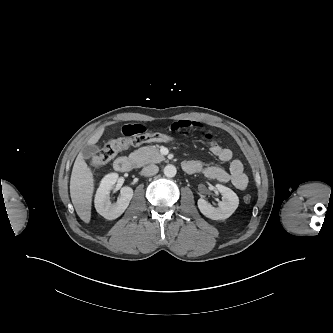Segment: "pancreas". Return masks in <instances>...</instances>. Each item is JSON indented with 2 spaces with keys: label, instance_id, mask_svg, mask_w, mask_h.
<instances>
[{
  "label": "pancreas",
  "instance_id": "obj_1",
  "mask_svg": "<svg viewBox=\"0 0 333 333\" xmlns=\"http://www.w3.org/2000/svg\"><path fill=\"white\" fill-rule=\"evenodd\" d=\"M129 158L138 167L150 163H160L165 161V157L159 152L155 146H144L135 150L129 155Z\"/></svg>",
  "mask_w": 333,
  "mask_h": 333
}]
</instances>
